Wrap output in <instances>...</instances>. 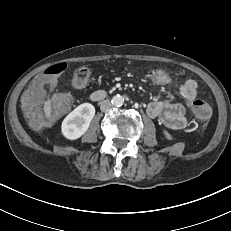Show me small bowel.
Returning <instances> with one entry per match:
<instances>
[{"label": "small bowel", "instance_id": "small-bowel-1", "mask_svg": "<svg viewBox=\"0 0 231 231\" xmlns=\"http://www.w3.org/2000/svg\"><path fill=\"white\" fill-rule=\"evenodd\" d=\"M163 87L169 89L167 97L150 102L146 109L147 114L151 118H157L162 125L169 129H183L187 124L185 107L180 103L173 102V98L178 95L187 101L193 100L197 95V83L194 80H187L181 86Z\"/></svg>", "mask_w": 231, "mask_h": 231}]
</instances>
